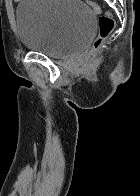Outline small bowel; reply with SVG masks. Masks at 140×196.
Masks as SVG:
<instances>
[{"instance_id":"obj_1","label":"small bowel","mask_w":140,"mask_h":196,"mask_svg":"<svg viewBox=\"0 0 140 196\" xmlns=\"http://www.w3.org/2000/svg\"><path fill=\"white\" fill-rule=\"evenodd\" d=\"M14 1L19 2L20 0H14Z\"/></svg>"}]
</instances>
